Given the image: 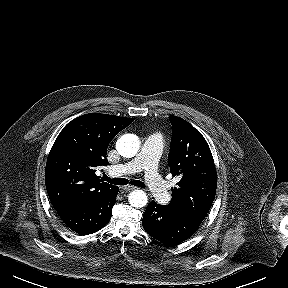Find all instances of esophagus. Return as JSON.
Wrapping results in <instances>:
<instances>
[{"label":"esophagus","instance_id":"1","mask_svg":"<svg viewBox=\"0 0 288 288\" xmlns=\"http://www.w3.org/2000/svg\"><path fill=\"white\" fill-rule=\"evenodd\" d=\"M136 188H137V187L131 186V185H126V186L123 187V189L126 190V191L134 190V189H136Z\"/></svg>","mask_w":288,"mask_h":288}]
</instances>
